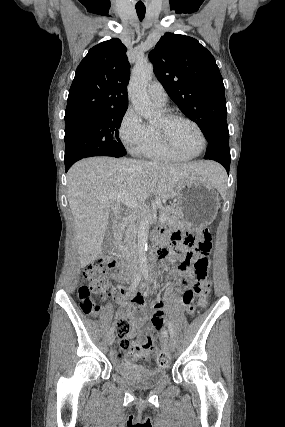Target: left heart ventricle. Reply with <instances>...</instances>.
I'll return each mask as SVG.
<instances>
[{
	"label": "left heart ventricle",
	"mask_w": 285,
	"mask_h": 427,
	"mask_svg": "<svg viewBox=\"0 0 285 427\" xmlns=\"http://www.w3.org/2000/svg\"><path fill=\"white\" fill-rule=\"evenodd\" d=\"M163 124V118L160 116L155 122V125L162 126ZM169 131L174 142L186 153L194 154L201 149V137L191 124L184 121H175L169 126Z\"/></svg>",
	"instance_id": "left-heart-ventricle-1"
}]
</instances>
